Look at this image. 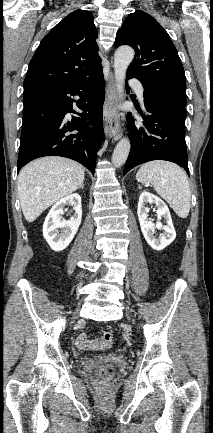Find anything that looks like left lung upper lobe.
Returning <instances> with one entry per match:
<instances>
[{
    "label": "left lung upper lobe",
    "instance_id": "5c2ea615",
    "mask_svg": "<svg viewBox=\"0 0 213 433\" xmlns=\"http://www.w3.org/2000/svg\"><path fill=\"white\" fill-rule=\"evenodd\" d=\"M124 44L136 53L127 75L142 83L147 96L185 109L184 68L165 29L151 15L137 10L128 15L117 32L115 46Z\"/></svg>",
    "mask_w": 213,
    "mask_h": 433
}]
</instances>
